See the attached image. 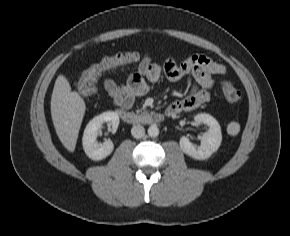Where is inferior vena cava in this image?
<instances>
[{"label": "inferior vena cava", "instance_id": "inferior-vena-cava-1", "mask_svg": "<svg viewBox=\"0 0 290 236\" xmlns=\"http://www.w3.org/2000/svg\"><path fill=\"white\" fill-rule=\"evenodd\" d=\"M131 134L134 138H142L145 135V129L142 125H134L131 129Z\"/></svg>", "mask_w": 290, "mask_h": 236}]
</instances>
